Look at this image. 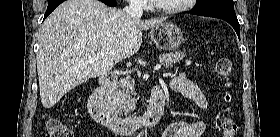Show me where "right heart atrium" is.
<instances>
[{
    "label": "right heart atrium",
    "instance_id": "obj_1",
    "mask_svg": "<svg viewBox=\"0 0 280 137\" xmlns=\"http://www.w3.org/2000/svg\"><path fill=\"white\" fill-rule=\"evenodd\" d=\"M132 5L135 8L144 9L147 6L146 0H132Z\"/></svg>",
    "mask_w": 280,
    "mask_h": 137
}]
</instances>
